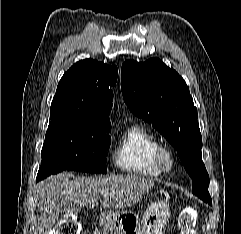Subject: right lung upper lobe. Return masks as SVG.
<instances>
[{
  "instance_id": "obj_1",
  "label": "right lung upper lobe",
  "mask_w": 241,
  "mask_h": 234,
  "mask_svg": "<svg viewBox=\"0 0 241 234\" xmlns=\"http://www.w3.org/2000/svg\"><path fill=\"white\" fill-rule=\"evenodd\" d=\"M118 69L92 59L75 63L61 78L51 104L53 111L74 114L84 124L111 126L109 112Z\"/></svg>"
}]
</instances>
